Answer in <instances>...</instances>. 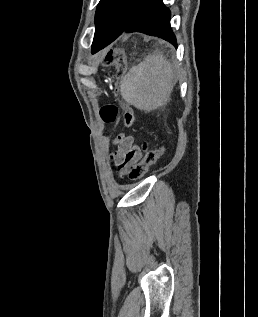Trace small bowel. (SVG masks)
I'll return each mask as SVG.
<instances>
[{
  "label": "small bowel",
  "instance_id": "1",
  "mask_svg": "<svg viewBox=\"0 0 258 317\" xmlns=\"http://www.w3.org/2000/svg\"><path fill=\"white\" fill-rule=\"evenodd\" d=\"M114 145L117 149L111 153L110 160L123 177L141 159L147 143L140 147L132 136L121 134L115 139Z\"/></svg>",
  "mask_w": 258,
  "mask_h": 317
}]
</instances>
